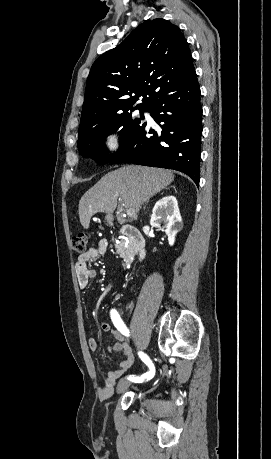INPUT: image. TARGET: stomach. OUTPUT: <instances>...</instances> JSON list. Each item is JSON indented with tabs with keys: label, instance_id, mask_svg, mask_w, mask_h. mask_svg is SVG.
I'll list each match as a JSON object with an SVG mask.
<instances>
[{
	"label": "stomach",
	"instance_id": "0dacf381",
	"mask_svg": "<svg viewBox=\"0 0 271 459\" xmlns=\"http://www.w3.org/2000/svg\"><path fill=\"white\" fill-rule=\"evenodd\" d=\"M106 220H108V222H110V220H112L111 216H107Z\"/></svg>",
	"mask_w": 271,
	"mask_h": 459
}]
</instances>
